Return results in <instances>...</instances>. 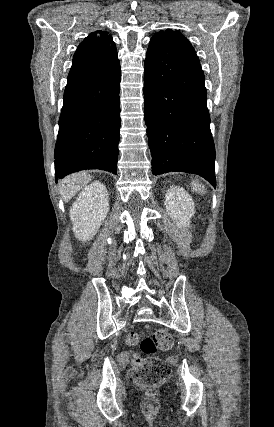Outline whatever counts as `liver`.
<instances>
[{
  "mask_svg": "<svg viewBox=\"0 0 274 427\" xmlns=\"http://www.w3.org/2000/svg\"><path fill=\"white\" fill-rule=\"evenodd\" d=\"M92 176L87 172H79V174H71L60 182L61 196L64 202H70L73 196L85 188L91 182Z\"/></svg>",
  "mask_w": 274,
  "mask_h": 427,
  "instance_id": "1",
  "label": "liver"
}]
</instances>
